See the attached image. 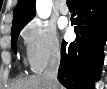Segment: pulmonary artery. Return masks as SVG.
<instances>
[{
  "label": "pulmonary artery",
  "instance_id": "e3ab8cb5",
  "mask_svg": "<svg viewBox=\"0 0 107 89\" xmlns=\"http://www.w3.org/2000/svg\"><path fill=\"white\" fill-rule=\"evenodd\" d=\"M59 9H60V12H61L62 14H67L68 11H69L67 5H66L64 2L61 3Z\"/></svg>",
  "mask_w": 107,
  "mask_h": 89
}]
</instances>
